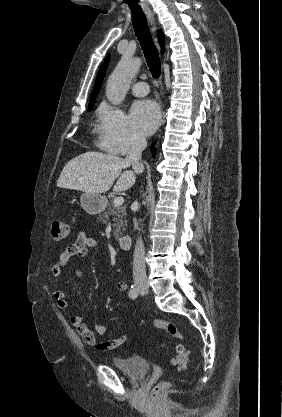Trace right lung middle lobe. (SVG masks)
<instances>
[{
	"mask_svg": "<svg viewBox=\"0 0 282 417\" xmlns=\"http://www.w3.org/2000/svg\"><path fill=\"white\" fill-rule=\"evenodd\" d=\"M96 96L97 95L90 96V101H89V105H88V111H91L93 109Z\"/></svg>",
	"mask_w": 282,
	"mask_h": 417,
	"instance_id": "obj_1",
	"label": "right lung middle lobe"
}]
</instances>
